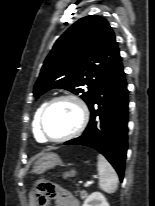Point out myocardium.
Segmentation results:
<instances>
[{"mask_svg":"<svg viewBox=\"0 0 155 206\" xmlns=\"http://www.w3.org/2000/svg\"><path fill=\"white\" fill-rule=\"evenodd\" d=\"M61 101H71L76 105L79 111V115H80L79 124L76 127V129H74L72 132L68 133L67 135L63 137H59V138H53V137L48 136L45 133L43 123H44L45 116L47 112L50 110V108L54 106L56 103L61 102ZM88 122H89V109L85 101L81 97L75 94H62L57 97H54L49 102H47V104L44 106L39 116L38 130H39L41 137L45 141L60 143V142H65L74 137L79 136L87 127Z\"/></svg>","mask_w":155,"mask_h":206,"instance_id":"1","label":"myocardium"}]
</instances>
